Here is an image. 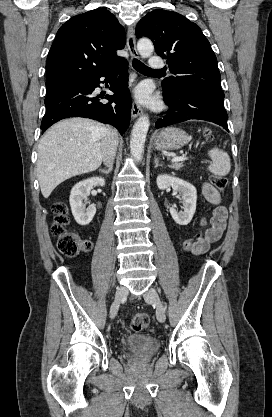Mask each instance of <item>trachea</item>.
<instances>
[{
  "instance_id": "obj_1",
  "label": "trachea",
  "mask_w": 272,
  "mask_h": 417,
  "mask_svg": "<svg viewBox=\"0 0 272 417\" xmlns=\"http://www.w3.org/2000/svg\"><path fill=\"white\" fill-rule=\"evenodd\" d=\"M133 67L137 71H139L141 73H145V74H148V73H164L163 70H154V69L149 68L148 66L144 65L142 62H140L137 59L133 60Z\"/></svg>"
}]
</instances>
